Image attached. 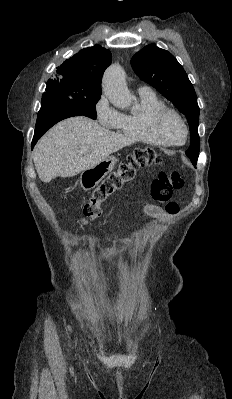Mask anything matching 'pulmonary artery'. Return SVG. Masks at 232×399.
I'll return each instance as SVG.
<instances>
[{"instance_id":"1","label":"pulmonary artery","mask_w":232,"mask_h":399,"mask_svg":"<svg viewBox=\"0 0 232 399\" xmlns=\"http://www.w3.org/2000/svg\"><path fill=\"white\" fill-rule=\"evenodd\" d=\"M139 94L140 96H151L152 91L151 89H140Z\"/></svg>"}]
</instances>
